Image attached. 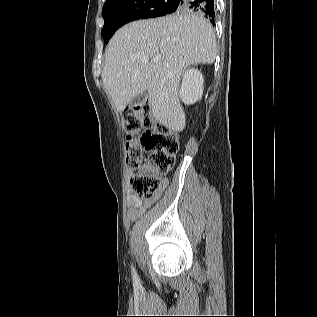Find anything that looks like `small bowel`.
Here are the masks:
<instances>
[{"label":"small bowel","instance_id":"small-bowel-1","mask_svg":"<svg viewBox=\"0 0 317 317\" xmlns=\"http://www.w3.org/2000/svg\"><path fill=\"white\" fill-rule=\"evenodd\" d=\"M167 185V180L162 181V187ZM153 203V200H141L133 194H129L127 198V215L131 221L138 219Z\"/></svg>","mask_w":317,"mask_h":317}]
</instances>
